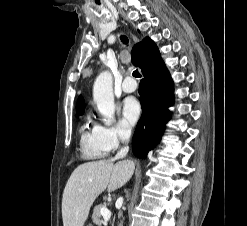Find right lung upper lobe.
<instances>
[{"label":"right lung upper lobe","mask_w":247,"mask_h":226,"mask_svg":"<svg viewBox=\"0 0 247 226\" xmlns=\"http://www.w3.org/2000/svg\"><path fill=\"white\" fill-rule=\"evenodd\" d=\"M155 43L148 37L143 39L141 42L137 43L131 52L132 63L135 66L145 69L148 60L150 59L151 49L155 48ZM85 109V103L83 97L80 95L76 105L77 115L83 114Z\"/></svg>","instance_id":"cb5924a9"}]
</instances>
